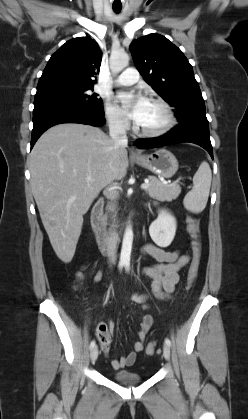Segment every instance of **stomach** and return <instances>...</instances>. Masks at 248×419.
<instances>
[{
  "label": "stomach",
  "mask_w": 248,
  "mask_h": 419,
  "mask_svg": "<svg viewBox=\"0 0 248 419\" xmlns=\"http://www.w3.org/2000/svg\"><path fill=\"white\" fill-rule=\"evenodd\" d=\"M134 161L163 178L172 177L178 170L176 157L166 149H159L149 155L134 158Z\"/></svg>",
  "instance_id": "stomach-1"
}]
</instances>
